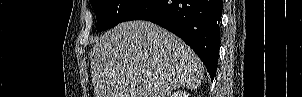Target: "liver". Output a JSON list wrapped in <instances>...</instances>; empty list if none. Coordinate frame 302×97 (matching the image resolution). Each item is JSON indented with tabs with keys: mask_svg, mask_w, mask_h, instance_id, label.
Returning <instances> with one entry per match:
<instances>
[{
	"mask_svg": "<svg viewBox=\"0 0 302 97\" xmlns=\"http://www.w3.org/2000/svg\"><path fill=\"white\" fill-rule=\"evenodd\" d=\"M95 97H167L200 87L204 66L171 32L147 21L118 24L90 54Z\"/></svg>",
	"mask_w": 302,
	"mask_h": 97,
	"instance_id": "liver-1",
	"label": "liver"
}]
</instances>
